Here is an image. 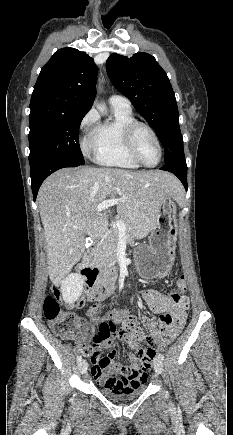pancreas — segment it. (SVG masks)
I'll return each instance as SVG.
<instances>
[{
    "mask_svg": "<svg viewBox=\"0 0 233 435\" xmlns=\"http://www.w3.org/2000/svg\"><path fill=\"white\" fill-rule=\"evenodd\" d=\"M123 220V219H122ZM124 221V220H123ZM127 227L128 237H132L128 225L124 221ZM119 241V231L115 225H112L111 229L107 232L106 238L96 254V263L103 271L111 270L117 261V246Z\"/></svg>",
    "mask_w": 233,
    "mask_h": 435,
    "instance_id": "1",
    "label": "pancreas"
}]
</instances>
